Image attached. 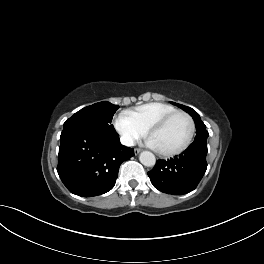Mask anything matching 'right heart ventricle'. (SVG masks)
Wrapping results in <instances>:
<instances>
[{
	"mask_svg": "<svg viewBox=\"0 0 264 264\" xmlns=\"http://www.w3.org/2000/svg\"><path fill=\"white\" fill-rule=\"evenodd\" d=\"M174 111L177 109L168 103L151 102L127 112L132 120L147 132L156 122Z\"/></svg>",
	"mask_w": 264,
	"mask_h": 264,
	"instance_id": "1",
	"label": "right heart ventricle"
}]
</instances>
